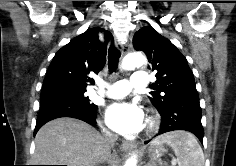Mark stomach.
I'll return each instance as SVG.
<instances>
[{
  "label": "stomach",
  "instance_id": "0dacf381",
  "mask_svg": "<svg viewBox=\"0 0 236 166\" xmlns=\"http://www.w3.org/2000/svg\"><path fill=\"white\" fill-rule=\"evenodd\" d=\"M165 152L166 149L163 144H155L152 142L147 150L150 161L146 166H161V157Z\"/></svg>",
  "mask_w": 236,
  "mask_h": 166
}]
</instances>
